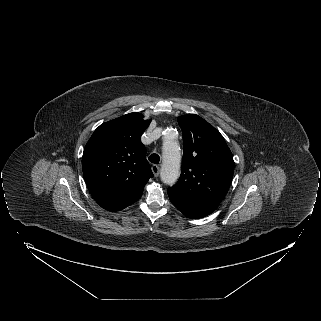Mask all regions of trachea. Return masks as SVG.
Masks as SVG:
<instances>
[{
	"label": "trachea",
	"mask_w": 321,
	"mask_h": 321,
	"mask_svg": "<svg viewBox=\"0 0 321 321\" xmlns=\"http://www.w3.org/2000/svg\"><path fill=\"white\" fill-rule=\"evenodd\" d=\"M149 161L154 163V164H158L159 161H160V157L159 155L157 154H152L150 157H149Z\"/></svg>",
	"instance_id": "obj_1"
}]
</instances>
